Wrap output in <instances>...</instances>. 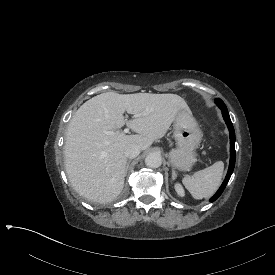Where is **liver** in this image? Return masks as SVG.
<instances>
[{"mask_svg": "<svg viewBox=\"0 0 275 275\" xmlns=\"http://www.w3.org/2000/svg\"><path fill=\"white\" fill-rule=\"evenodd\" d=\"M179 107L189 109L176 94L107 92L86 101L69 122L64 146L66 172L74 190L95 202L115 199L124 186V148L128 144L148 148L166 132ZM124 111L134 116L126 120ZM124 125L139 134H107Z\"/></svg>", "mask_w": 275, "mask_h": 275, "instance_id": "6515ba94", "label": "liver"}]
</instances>
